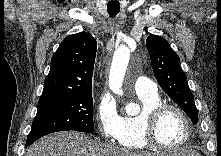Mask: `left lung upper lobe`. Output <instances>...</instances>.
Returning <instances> with one entry per match:
<instances>
[{
	"label": "left lung upper lobe",
	"mask_w": 221,
	"mask_h": 156,
	"mask_svg": "<svg viewBox=\"0 0 221 156\" xmlns=\"http://www.w3.org/2000/svg\"><path fill=\"white\" fill-rule=\"evenodd\" d=\"M146 46L159 85L184 110L193 124H197L198 112L194 97L180 66L178 55L169 43L158 35H150L146 40Z\"/></svg>",
	"instance_id": "obj_1"
}]
</instances>
